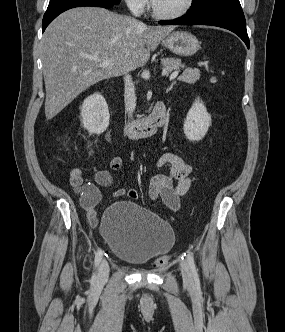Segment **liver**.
<instances>
[{
  "mask_svg": "<svg viewBox=\"0 0 285 332\" xmlns=\"http://www.w3.org/2000/svg\"><path fill=\"white\" fill-rule=\"evenodd\" d=\"M172 30L96 7L59 15L42 38L47 120L95 83L144 66ZM94 56L110 64L100 67V62L89 59Z\"/></svg>",
  "mask_w": 285,
  "mask_h": 332,
  "instance_id": "liver-1",
  "label": "liver"
}]
</instances>
